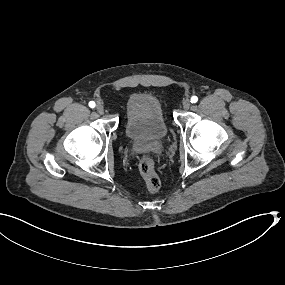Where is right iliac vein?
I'll return each mask as SVG.
<instances>
[{"mask_svg": "<svg viewBox=\"0 0 285 285\" xmlns=\"http://www.w3.org/2000/svg\"><path fill=\"white\" fill-rule=\"evenodd\" d=\"M96 109H97V112L100 113V114H102L104 112V106L101 105V104H98L96 106Z\"/></svg>", "mask_w": 285, "mask_h": 285, "instance_id": "obj_1", "label": "right iliac vein"}]
</instances>
